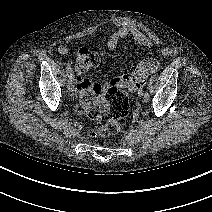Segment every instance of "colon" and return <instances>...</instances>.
<instances>
[{"label":"colon","mask_w":212,"mask_h":212,"mask_svg":"<svg viewBox=\"0 0 212 212\" xmlns=\"http://www.w3.org/2000/svg\"><path fill=\"white\" fill-rule=\"evenodd\" d=\"M100 63L101 55L88 48L80 49L76 55L80 104L83 113L97 122L89 131L94 137L110 136L122 129L123 121L130 113V101L123 87L139 89L145 83V76L122 75L102 87L87 77Z\"/></svg>","instance_id":"1"}]
</instances>
